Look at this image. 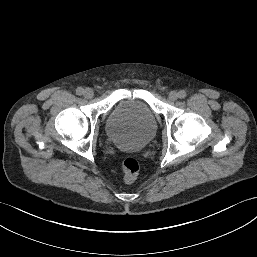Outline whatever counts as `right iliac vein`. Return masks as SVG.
<instances>
[{
    "instance_id": "63e3f726",
    "label": "right iliac vein",
    "mask_w": 257,
    "mask_h": 257,
    "mask_svg": "<svg viewBox=\"0 0 257 257\" xmlns=\"http://www.w3.org/2000/svg\"><path fill=\"white\" fill-rule=\"evenodd\" d=\"M83 95H84L85 98L90 99V98L93 97L94 92H93V90H92L91 88H86V89L84 90Z\"/></svg>"
}]
</instances>
